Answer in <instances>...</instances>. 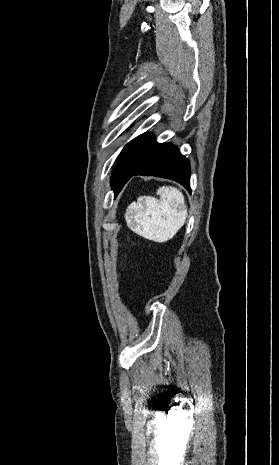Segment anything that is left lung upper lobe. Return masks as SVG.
I'll return each instance as SVG.
<instances>
[{
  "mask_svg": "<svg viewBox=\"0 0 279 465\" xmlns=\"http://www.w3.org/2000/svg\"><path fill=\"white\" fill-rule=\"evenodd\" d=\"M161 146L162 144L157 143L149 133L139 135L124 146L111 175L115 194Z\"/></svg>",
  "mask_w": 279,
  "mask_h": 465,
  "instance_id": "left-lung-upper-lobe-1",
  "label": "left lung upper lobe"
}]
</instances>
